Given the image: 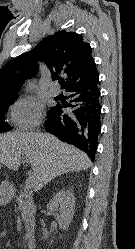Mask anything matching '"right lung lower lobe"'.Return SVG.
Segmentation results:
<instances>
[{
	"instance_id": "right-lung-lower-lobe-1",
	"label": "right lung lower lobe",
	"mask_w": 135,
	"mask_h": 249,
	"mask_svg": "<svg viewBox=\"0 0 135 249\" xmlns=\"http://www.w3.org/2000/svg\"><path fill=\"white\" fill-rule=\"evenodd\" d=\"M99 73L92 78L66 88L71 103L52 107L45 122V130L66 143L84 151L94 161L98 135L101 131V106L98 88ZM72 107L70 113L65 108Z\"/></svg>"
}]
</instances>
